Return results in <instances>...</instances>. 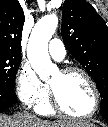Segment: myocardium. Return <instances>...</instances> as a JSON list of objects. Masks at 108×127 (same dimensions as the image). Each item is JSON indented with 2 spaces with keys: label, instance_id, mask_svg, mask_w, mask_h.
I'll use <instances>...</instances> for the list:
<instances>
[{
  "label": "myocardium",
  "instance_id": "myocardium-1",
  "mask_svg": "<svg viewBox=\"0 0 108 127\" xmlns=\"http://www.w3.org/2000/svg\"><path fill=\"white\" fill-rule=\"evenodd\" d=\"M59 72L62 75H68L71 73L81 74L86 79V81L88 82L92 90L93 97H94V103H93L92 109L88 113L83 114V115L72 114L68 112L67 110H65V108L62 106L59 100L56 90L53 88V86L49 84L50 103H51L52 108L59 114H62L67 117L75 118V119H87V118L92 117L97 112L99 105H100V93H99L98 87L94 79L92 78V76L86 70L80 67H75V66H69V67L62 68Z\"/></svg>",
  "mask_w": 108,
  "mask_h": 127
}]
</instances>
